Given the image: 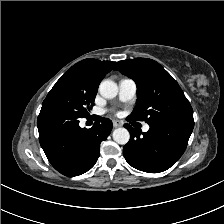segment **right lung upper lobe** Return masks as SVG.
<instances>
[{
    "label": "right lung upper lobe",
    "mask_w": 224,
    "mask_h": 224,
    "mask_svg": "<svg viewBox=\"0 0 224 224\" xmlns=\"http://www.w3.org/2000/svg\"><path fill=\"white\" fill-rule=\"evenodd\" d=\"M114 65L115 62L85 59L76 63L65 73L79 77L98 89L100 82Z\"/></svg>",
    "instance_id": "right-lung-upper-lobe-1"
}]
</instances>
